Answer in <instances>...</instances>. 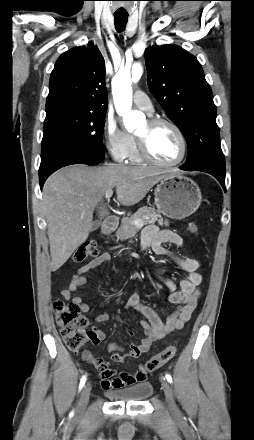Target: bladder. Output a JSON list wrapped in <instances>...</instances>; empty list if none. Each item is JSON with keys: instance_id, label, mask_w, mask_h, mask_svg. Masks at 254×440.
<instances>
[{"instance_id": "1", "label": "bladder", "mask_w": 254, "mask_h": 440, "mask_svg": "<svg viewBox=\"0 0 254 440\" xmlns=\"http://www.w3.org/2000/svg\"><path fill=\"white\" fill-rule=\"evenodd\" d=\"M152 392L153 387L150 382H140L128 388L108 391L106 395L119 401L138 402L148 398Z\"/></svg>"}]
</instances>
